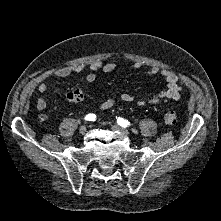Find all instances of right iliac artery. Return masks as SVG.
<instances>
[{
  "label": "right iliac artery",
  "instance_id": "82829eb1",
  "mask_svg": "<svg viewBox=\"0 0 221 221\" xmlns=\"http://www.w3.org/2000/svg\"><path fill=\"white\" fill-rule=\"evenodd\" d=\"M85 119L87 121H95L96 120V115L93 114V113H89V114L86 115Z\"/></svg>",
  "mask_w": 221,
  "mask_h": 221
}]
</instances>
